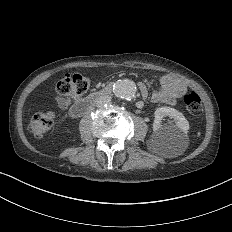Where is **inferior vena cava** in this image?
Instances as JSON below:
<instances>
[{
    "label": "inferior vena cava",
    "instance_id": "inferior-vena-cava-1",
    "mask_svg": "<svg viewBox=\"0 0 232 232\" xmlns=\"http://www.w3.org/2000/svg\"><path fill=\"white\" fill-rule=\"evenodd\" d=\"M111 101V97L110 96H101L99 99L100 104L104 105V104H108Z\"/></svg>",
    "mask_w": 232,
    "mask_h": 232
}]
</instances>
